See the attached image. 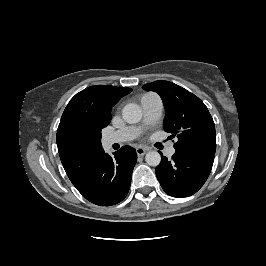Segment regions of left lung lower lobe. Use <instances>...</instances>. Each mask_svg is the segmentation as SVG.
<instances>
[{"label":"left lung lower lobe","mask_w":266,"mask_h":266,"mask_svg":"<svg viewBox=\"0 0 266 266\" xmlns=\"http://www.w3.org/2000/svg\"><path fill=\"white\" fill-rule=\"evenodd\" d=\"M215 153L176 151L171 160L161 154L156 176L163 190L173 197H188L196 193L207 180Z\"/></svg>","instance_id":"obj_1"}]
</instances>
